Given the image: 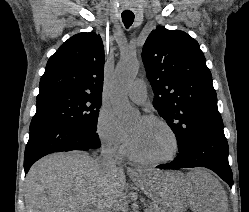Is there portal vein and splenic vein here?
<instances>
[{
	"label": "portal vein and splenic vein",
	"instance_id": "obj_1",
	"mask_svg": "<svg viewBox=\"0 0 249 212\" xmlns=\"http://www.w3.org/2000/svg\"><path fill=\"white\" fill-rule=\"evenodd\" d=\"M83 212H96L94 208H91V206H87V208H84Z\"/></svg>",
	"mask_w": 249,
	"mask_h": 212
}]
</instances>
